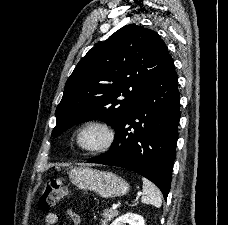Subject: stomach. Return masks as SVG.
<instances>
[{
  "label": "stomach",
  "instance_id": "obj_1",
  "mask_svg": "<svg viewBox=\"0 0 228 225\" xmlns=\"http://www.w3.org/2000/svg\"><path fill=\"white\" fill-rule=\"evenodd\" d=\"M71 183L82 191H94L104 199L122 197L130 191V185L114 173L96 171L90 167H75L70 175Z\"/></svg>",
  "mask_w": 228,
  "mask_h": 225
}]
</instances>
